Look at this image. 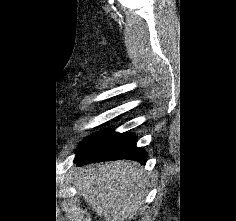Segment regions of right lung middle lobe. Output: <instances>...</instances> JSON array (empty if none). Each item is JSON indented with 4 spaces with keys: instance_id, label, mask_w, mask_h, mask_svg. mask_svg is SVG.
<instances>
[{
    "instance_id": "right-lung-middle-lobe-1",
    "label": "right lung middle lobe",
    "mask_w": 236,
    "mask_h": 221,
    "mask_svg": "<svg viewBox=\"0 0 236 221\" xmlns=\"http://www.w3.org/2000/svg\"><path fill=\"white\" fill-rule=\"evenodd\" d=\"M91 137H92V136L86 138V139L84 140V142L80 143L79 148H80L89 138H91Z\"/></svg>"
}]
</instances>
